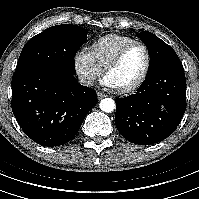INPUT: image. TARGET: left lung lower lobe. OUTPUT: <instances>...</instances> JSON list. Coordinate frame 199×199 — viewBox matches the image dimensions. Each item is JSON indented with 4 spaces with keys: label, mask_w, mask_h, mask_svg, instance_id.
<instances>
[{
    "label": "left lung lower lobe",
    "mask_w": 199,
    "mask_h": 199,
    "mask_svg": "<svg viewBox=\"0 0 199 199\" xmlns=\"http://www.w3.org/2000/svg\"><path fill=\"white\" fill-rule=\"evenodd\" d=\"M115 124L128 141L149 145L170 136L186 110V79L179 58L146 77L135 94L118 98Z\"/></svg>",
    "instance_id": "0a47b994"
}]
</instances>
